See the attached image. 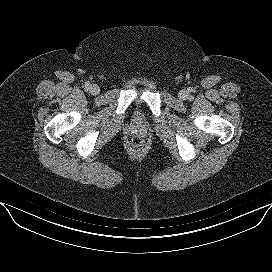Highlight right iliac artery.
<instances>
[{
    "label": "right iliac artery",
    "mask_w": 272,
    "mask_h": 272,
    "mask_svg": "<svg viewBox=\"0 0 272 272\" xmlns=\"http://www.w3.org/2000/svg\"><path fill=\"white\" fill-rule=\"evenodd\" d=\"M85 87H86V88H89V87H90V83H89V82H86V83H85Z\"/></svg>",
    "instance_id": "obj_1"
}]
</instances>
